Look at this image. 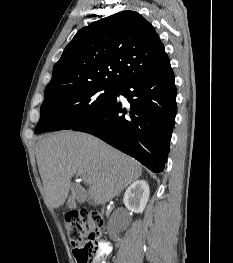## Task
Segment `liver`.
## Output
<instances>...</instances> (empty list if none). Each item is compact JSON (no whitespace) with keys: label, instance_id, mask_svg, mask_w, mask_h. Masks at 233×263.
<instances>
[{"label":"liver","instance_id":"6515ba94","mask_svg":"<svg viewBox=\"0 0 233 263\" xmlns=\"http://www.w3.org/2000/svg\"><path fill=\"white\" fill-rule=\"evenodd\" d=\"M36 159L45 200L53 208L65 203L76 173L90 180L86 196L98 205L119 195L142 174L140 164L129 156L92 135L74 131L39 140Z\"/></svg>","mask_w":233,"mask_h":263}]
</instances>
